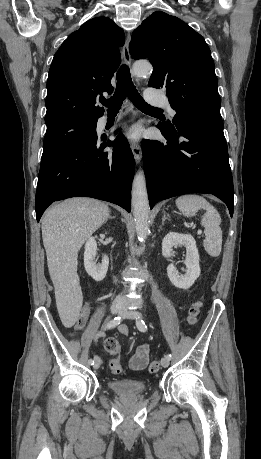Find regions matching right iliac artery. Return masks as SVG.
Wrapping results in <instances>:
<instances>
[{
	"label": "right iliac artery",
	"instance_id": "1",
	"mask_svg": "<svg viewBox=\"0 0 261 459\" xmlns=\"http://www.w3.org/2000/svg\"><path fill=\"white\" fill-rule=\"evenodd\" d=\"M123 317L121 315L115 317L114 319H112L111 321H109L106 326H105V329H111V328H114L116 327L117 325L120 324V322L122 321ZM98 358V356H94V359H89L88 363L93 365L94 364V361Z\"/></svg>",
	"mask_w": 261,
	"mask_h": 459
}]
</instances>
